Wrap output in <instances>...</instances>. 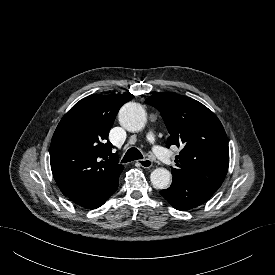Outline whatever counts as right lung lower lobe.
Here are the masks:
<instances>
[{
    "mask_svg": "<svg viewBox=\"0 0 275 275\" xmlns=\"http://www.w3.org/2000/svg\"><path fill=\"white\" fill-rule=\"evenodd\" d=\"M119 175L120 174H118L107 185L95 188L87 192L69 196V199L84 208L96 209L103 205L105 201L117 190Z\"/></svg>",
    "mask_w": 275,
    "mask_h": 275,
    "instance_id": "right-lung-lower-lobe-1",
    "label": "right lung lower lobe"
}]
</instances>
